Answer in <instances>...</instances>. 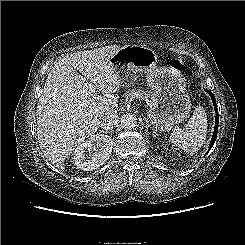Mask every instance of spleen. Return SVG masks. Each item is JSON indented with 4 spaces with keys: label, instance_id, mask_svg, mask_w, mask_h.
Returning a JSON list of instances; mask_svg holds the SVG:
<instances>
[{
    "label": "spleen",
    "instance_id": "obj_1",
    "mask_svg": "<svg viewBox=\"0 0 245 245\" xmlns=\"http://www.w3.org/2000/svg\"><path fill=\"white\" fill-rule=\"evenodd\" d=\"M207 116L202 106H197L183 129L170 135L171 142L186 152H196L204 145L207 136Z\"/></svg>",
    "mask_w": 245,
    "mask_h": 245
}]
</instances>
